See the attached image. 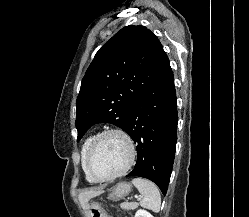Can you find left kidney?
Instances as JSON below:
<instances>
[{"mask_svg": "<svg viewBox=\"0 0 249 217\" xmlns=\"http://www.w3.org/2000/svg\"><path fill=\"white\" fill-rule=\"evenodd\" d=\"M134 217H153V215L146 210L140 209L136 212Z\"/></svg>", "mask_w": 249, "mask_h": 217, "instance_id": "5707ae66", "label": "left kidney"}]
</instances>
